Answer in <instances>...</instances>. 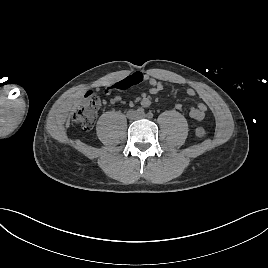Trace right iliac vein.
Segmentation results:
<instances>
[{"mask_svg":"<svg viewBox=\"0 0 268 268\" xmlns=\"http://www.w3.org/2000/svg\"><path fill=\"white\" fill-rule=\"evenodd\" d=\"M127 117L130 119V120H136L138 118V114L136 111L134 110H130L128 113H127Z\"/></svg>","mask_w":268,"mask_h":268,"instance_id":"obj_1","label":"right iliac vein"}]
</instances>
